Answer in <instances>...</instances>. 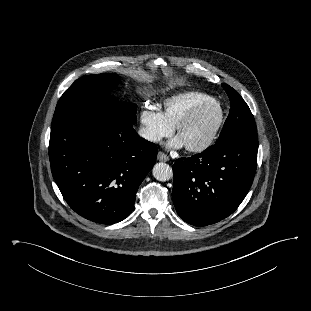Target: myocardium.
<instances>
[{
	"label": "myocardium",
	"mask_w": 311,
	"mask_h": 311,
	"mask_svg": "<svg viewBox=\"0 0 311 311\" xmlns=\"http://www.w3.org/2000/svg\"><path fill=\"white\" fill-rule=\"evenodd\" d=\"M210 105H215L217 108V117L215 123L207 136V138L197 144V145H185V148L194 153L203 152L208 149L216 140L217 135L223 125L224 122V109L221 103L216 99H210L205 101L196 107H194L191 111H189L176 125V133L177 135L188 125L190 124L202 111H204Z\"/></svg>",
	"instance_id": "1"
}]
</instances>
